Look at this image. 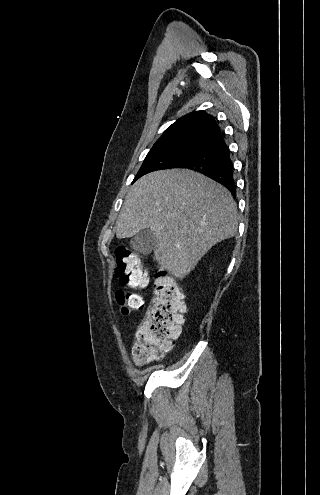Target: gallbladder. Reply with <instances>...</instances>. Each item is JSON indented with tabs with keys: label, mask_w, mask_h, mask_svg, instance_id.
I'll list each match as a JSON object with an SVG mask.
<instances>
[{
	"label": "gallbladder",
	"mask_w": 320,
	"mask_h": 495,
	"mask_svg": "<svg viewBox=\"0 0 320 495\" xmlns=\"http://www.w3.org/2000/svg\"><path fill=\"white\" fill-rule=\"evenodd\" d=\"M156 243V236L153 230L147 228L139 231L131 241L134 248L142 247L144 254H148L153 249Z\"/></svg>",
	"instance_id": "1"
}]
</instances>
